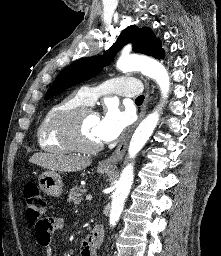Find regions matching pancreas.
Masks as SVG:
<instances>
[{"mask_svg":"<svg viewBox=\"0 0 221 256\" xmlns=\"http://www.w3.org/2000/svg\"><path fill=\"white\" fill-rule=\"evenodd\" d=\"M84 194V190L81 186H74L69 193V202H74L75 204H79L82 201V195Z\"/></svg>","mask_w":221,"mask_h":256,"instance_id":"1","label":"pancreas"}]
</instances>
